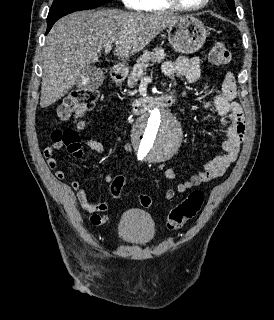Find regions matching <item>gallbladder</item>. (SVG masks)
Masks as SVG:
<instances>
[{"instance_id": "bac80fb5", "label": "gallbladder", "mask_w": 274, "mask_h": 320, "mask_svg": "<svg viewBox=\"0 0 274 320\" xmlns=\"http://www.w3.org/2000/svg\"><path fill=\"white\" fill-rule=\"evenodd\" d=\"M105 68H82L80 76H78L75 86L81 90H96L97 85H101L104 81Z\"/></svg>"}]
</instances>
